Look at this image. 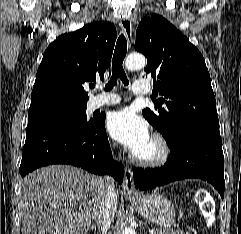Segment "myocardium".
<instances>
[{"label": "myocardium", "instance_id": "myocardium-1", "mask_svg": "<svg viewBox=\"0 0 241 234\" xmlns=\"http://www.w3.org/2000/svg\"><path fill=\"white\" fill-rule=\"evenodd\" d=\"M151 140L157 145V153L150 158H142L134 154L133 161L143 167H160L169 160L171 148L167 139L160 133L152 134Z\"/></svg>", "mask_w": 241, "mask_h": 234}]
</instances>
